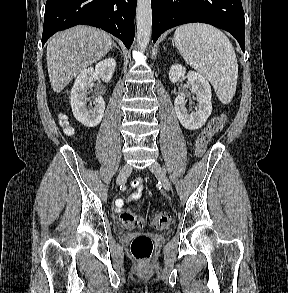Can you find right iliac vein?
<instances>
[{
  "label": "right iliac vein",
  "instance_id": "obj_1",
  "mask_svg": "<svg viewBox=\"0 0 288 293\" xmlns=\"http://www.w3.org/2000/svg\"><path fill=\"white\" fill-rule=\"evenodd\" d=\"M130 173H131V167H130V165L125 164L122 167V169L119 172V175L117 177V180H116L117 185L123 184L128 179Z\"/></svg>",
  "mask_w": 288,
  "mask_h": 293
}]
</instances>
